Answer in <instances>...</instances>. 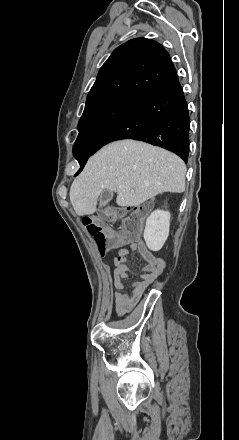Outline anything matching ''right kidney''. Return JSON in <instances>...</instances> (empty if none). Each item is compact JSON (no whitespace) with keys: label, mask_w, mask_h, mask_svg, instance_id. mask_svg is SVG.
Here are the masks:
<instances>
[{"label":"right kidney","mask_w":239,"mask_h":440,"mask_svg":"<svg viewBox=\"0 0 239 440\" xmlns=\"http://www.w3.org/2000/svg\"><path fill=\"white\" fill-rule=\"evenodd\" d=\"M170 228V214L164 210H155L150 214L146 220L144 230V240H146L147 247L151 248L152 252H157L158 248L163 247V242H166L169 236Z\"/></svg>","instance_id":"obj_1"}]
</instances>
